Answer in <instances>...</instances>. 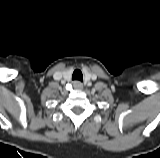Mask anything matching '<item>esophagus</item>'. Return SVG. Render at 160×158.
Wrapping results in <instances>:
<instances>
[{"mask_svg":"<svg viewBox=\"0 0 160 158\" xmlns=\"http://www.w3.org/2000/svg\"><path fill=\"white\" fill-rule=\"evenodd\" d=\"M73 87L77 90L82 89L83 85L80 81L76 80L73 82Z\"/></svg>","mask_w":160,"mask_h":158,"instance_id":"esophagus-1","label":"esophagus"}]
</instances>
